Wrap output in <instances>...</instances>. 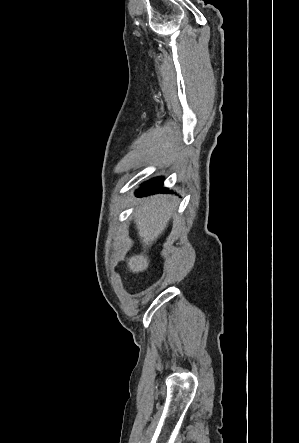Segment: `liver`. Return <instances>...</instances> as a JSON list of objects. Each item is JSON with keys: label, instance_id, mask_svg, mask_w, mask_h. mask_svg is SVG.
Masks as SVG:
<instances>
[{"label": "liver", "instance_id": "1", "mask_svg": "<svg viewBox=\"0 0 299 443\" xmlns=\"http://www.w3.org/2000/svg\"><path fill=\"white\" fill-rule=\"evenodd\" d=\"M177 204L167 195H156L147 198L135 218L138 235L146 249L164 232ZM146 251V250H145ZM128 267L133 273L145 271L149 266L147 255L141 253L127 260Z\"/></svg>", "mask_w": 299, "mask_h": 443}]
</instances>
